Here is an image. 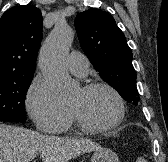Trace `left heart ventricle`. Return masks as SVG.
<instances>
[{"label":"left heart ventricle","mask_w":168,"mask_h":162,"mask_svg":"<svg viewBox=\"0 0 168 162\" xmlns=\"http://www.w3.org/2000/svg\"><path fill=\"white\" fill-rule=\"evenodd\" d=\"M69 106L89 124L104 125L117 114V104L110 92L96 89L84 92L80 89L71 99Z\"/></svg>","instance_id":"left-heart-ventricle-1"}]
</instances>
